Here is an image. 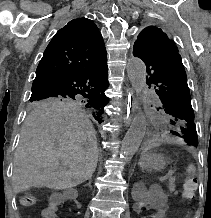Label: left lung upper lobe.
I'll return each instance as SVG.
<instances>
[{"mask_svg": "<svg viewBox=\"0 0 211 218\" xmlns=\"http://www.w3.org/2000/svg\"><path fill=\"white\" fill-rule=\"evenodd\" d=\"M133 49L134 56L146 65V83L158 96L154 110L166 133L196 147L194 111L178 48L160 28L148 26L138 35Z\"/></svg>", "mask_w": 211, "mask_h": 218, "instance_id": "obj_1", "label": "left lung upper lobe"}]
</instances>
